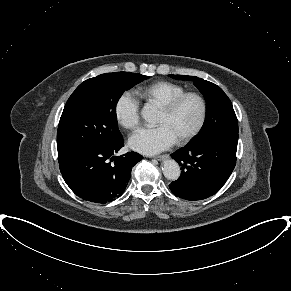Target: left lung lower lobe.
<instances>
[{
    "label": "left lung lower lobe",
    "instance_id": "1",
    "mask_svg": "<svg viewBox=\"0 0 291 291\" xmlns=\"http://www.w3.org/2000/svg\"><path fill=\"white\" fill-rule=\"evenodd\" d=\"M237 142L238 133L220 132L200 142H189L171 154L182 170L169 185L172 193L192 201L214 195L235 167Z\"/></svg>",
    "mask_w": 291,
    "mask_h": 291
}]
</instances>
